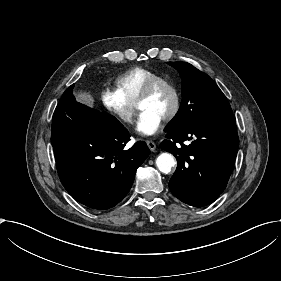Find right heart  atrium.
I'll return each instance as SVG.
<instances>
[{"label":"right heart atrium","instance_id":"obj_1","mask_svg":"<svg viewBox=\"0 0 281 281\" xmlns=\"http://www.w3.org/2000/svg\"><path fill=\"white\" fill-rule=\"evenodd\" d=\"M100 99L107 111L124 125H132L136 120V106L128 102L117 89L104 87Z\"/></svg>","mask_w":281,"mask_h":281}]
</instances>
